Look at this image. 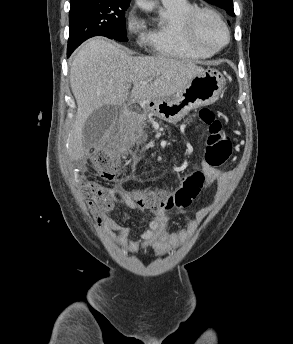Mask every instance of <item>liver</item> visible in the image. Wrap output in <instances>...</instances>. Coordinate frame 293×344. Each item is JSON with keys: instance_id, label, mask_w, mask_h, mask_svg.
I'll use <instances>...</instances> for the list:
<instances>
[{"instance_id": "6515ba94", "label": "liver", "mask_w": 293, "mask_h": 344, "mask_svg": "<svg viewBox=\"0 0 293 344\" xmlns=\"http://www.w3.org/2000/svg\"><path fill=\"white\" fill-rule=\"evenodd\" d=\"M204 69L189 60L163 56L133 57L119 45L96 37L85 42L70 68V84L77 102L76 121L68 138L71 160L84 155L83 128L88 117L104 105L122 106L133 83V102L170 97L184 89ZM148 81L147 84H141Z\"/></svg>"}]
</instances>
